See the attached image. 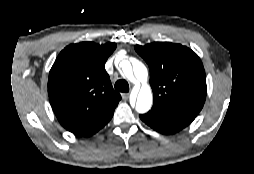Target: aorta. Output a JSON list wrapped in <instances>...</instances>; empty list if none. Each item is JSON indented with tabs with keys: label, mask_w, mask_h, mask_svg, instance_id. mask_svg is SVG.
I'll use <instances>...</instances> for the list:
<instances>
[{
	"label": "aorta",
	"mask_w": 254,
	"mask_h": 174,
	"mask_svg": "<svg viewBox=\"0 0 254 174\" xmlns=\"http://www.w3.org/2000/svg\"><path fill=\"white\" fill-rule=\"evenodd\" d=\"M121 67L126 78L131 81L137 80L142 83L135 109L141 114L148 112L153 103V95L151 87L147 84L148 71L146 66L142 62L135 60L132 65L129 61H124Z\"/></svg>",
	"instance_id": "1"
}]
</instances>
